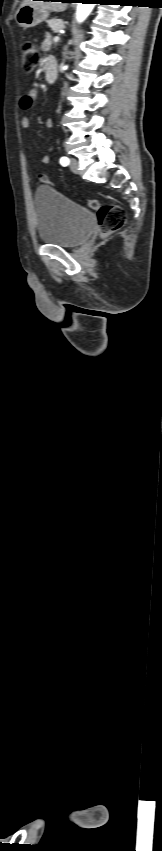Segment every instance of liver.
<instances>
[{
	"label": "liver",
	"mask_w": 162,
	"mask_h": 851,
	"mask_svg": "<svg viewBox=\"0 0 162 851\" xmlns=\"http://www.w3.org/2000/svg\"><path fill=\"white\" fill-rule=\"evenodd\" d=\"M24 5H32L37 8L62 12L67 8V3L65 2H51V1H33V0H24L22 6Z\"/></svg>",
	"instance_id": "1"
}]
</instances>
